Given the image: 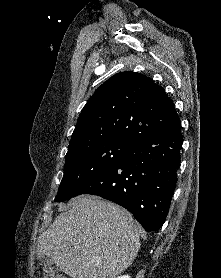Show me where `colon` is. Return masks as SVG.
Instances as JSON below:
<instances>
[{"mask_svg": "<svg viewBox=\"0 0 221 278\" xmlns=\"http://www.w3.org/2000/svg\"><path fill=\"white\" fill-rule=\"evenodd\" d=\"M44 278H66L63 273L52 267L44 268Z\"/></svg>", "mask_w": 221, "mask_h": 278, "instance_id": "1", "label": "colon"}]
</instances>
